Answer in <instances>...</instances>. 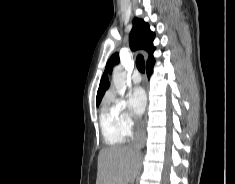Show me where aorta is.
<instances>
[{
	"label": "aorta",
	"instance_id": "762f6f07",
	"mask_svg": "<svg viewBox=\"0 0 235 184\" xmlns=\"http://www.w3.org/2000/svg\"><path fill=\"white\" fill-rule=\"evenodd\" d=\"M112 82L118 94L126 90V72H123L122 66H116V68H114L112 72Z\"/></svg>",
	"mask_w": 235,
	"mask_h": 184
}]
</instances>
